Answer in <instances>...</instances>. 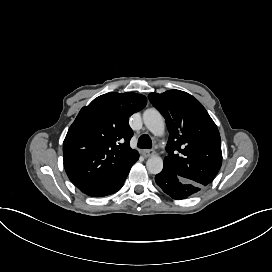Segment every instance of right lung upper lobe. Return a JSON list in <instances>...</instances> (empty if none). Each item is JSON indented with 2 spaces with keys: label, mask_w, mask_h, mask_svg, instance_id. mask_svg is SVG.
<instances>
[{
  "label": "right lung upper lobe",
  "mask_w": 272,
  "mask_h": 272,
  "mask_svg": "<svg viewBox=\"0 0 272 272\" xmlns=\"http://www.w3.org/2000/svg\"><path fill=\"white\" fill-rule=\"evenodd\" d=\"M146 103L140 94L107 93L80 110L63 143L65 171L76 187L108 178L139 156L129 146L128 120Z\"/></svg>",
  "instance_id": "cb5924a9"
}]
</instances>
